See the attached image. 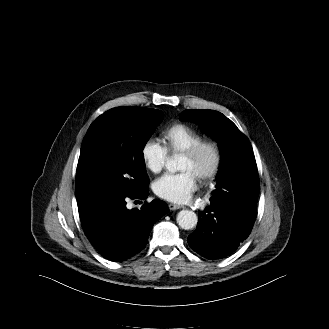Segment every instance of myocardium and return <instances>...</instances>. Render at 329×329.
Returning <instances> with one entry per match:
<instances>
[{
    "instance_id": "obj_1",
    "label": "myocardium",
    "mask_w": 329,
    "mask_h": 329,
    "mask_svg": "<svg viewBox=\"0 0 329 329\" xmlns=\"http://www.w3.org/2000/svg\"><path fill=\"white\" fill-rule=\"evenodd\" d=\"M204 152H209L211 154L212 163L206 171L198 176V179L206 182L216 177L221 170L223 154L220 144L215 140L205 139L186 149L182 154L190 159H197Z\"/></svg>"
}]
</instances>
